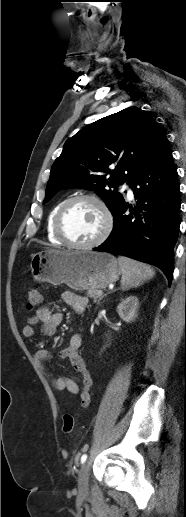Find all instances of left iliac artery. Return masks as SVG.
<instances>
[{
  "instance_id": "left-iliac-artery-1",
  "label": "left iliac artery",
  "mask_w": 186,
  "mask_h": 517,
  "mask_svg": "<svg viewBox=\"0 0 186 517\" xmlns=\"http://www.w3.org/2000/svg\"><path fill=\"white\" fill-rule=\"evenodd\" d=\"M87 459V455L86 454H83L82 457H81V463H84Z\"/></svg>"
}]
</instances>
